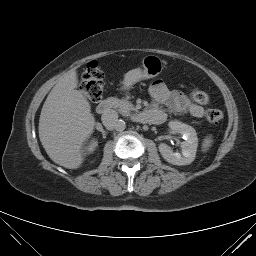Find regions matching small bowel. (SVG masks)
Here are the masks:
<instances>
[{
    "mask_svg": "<svg viewBox=\"0 0 256 256\" xmlns=\"http://www.w3.org/2000/svg\"><path fill=\"white\" fill-rule=\"evenodd\" d=\"M149 94L153 100V107L148 111L153 116L154 123L165 120V113L161 106L167 107L171 112L177 114H189L195 118H202L205 110L202 106L192 102L184 93L177 90H170L161 80L154 81Z\"/></svg>",
    "mask_w": 256,
    "mask_h": 256,
    "instance_id": "obj_1",
    "label": "small bowel"
}]
</instances>
